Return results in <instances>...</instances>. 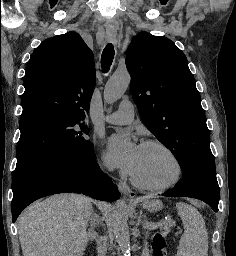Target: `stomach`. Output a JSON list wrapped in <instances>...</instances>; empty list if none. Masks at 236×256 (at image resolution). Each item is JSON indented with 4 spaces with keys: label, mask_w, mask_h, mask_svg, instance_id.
I'll use <instances>...</instances> for the list:
<instances>
[{
    "label": "stomach",
    "mask_w": 236,
    "mask_h": 256,
    "mask_svg": "<svg viewBox=\"0 0 236 256\" xmlns=\"http://www.w3.org/2000/svg\"><path fill=\"white\" fill-rule=\"evenodd\" d=\"M143 208L150 212H156L162 208V203L158 200L144 201Z\"/></svg>",
    "instance_id": "obj_1"
}]
</instances>
